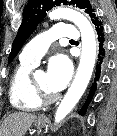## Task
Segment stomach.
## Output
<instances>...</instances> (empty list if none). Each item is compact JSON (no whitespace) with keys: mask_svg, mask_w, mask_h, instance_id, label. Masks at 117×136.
Listing matches in <instances>:
<instances>
[{"mask_svg":"<svg viewBox=\"0 0 117 136\" xmlns=\"http://www.w3.org/2000/svg\"><path fill=\"white\" fill-rule=\"evenodd\" d=\"M47 123V119L45 117H39L34 121V124L37 128L44 127Z\"/></svg>","mask_w":117,"mask_h":136,"instance_id":"stomach-1","label":"stomach"}]
</instances>
